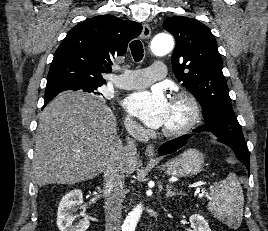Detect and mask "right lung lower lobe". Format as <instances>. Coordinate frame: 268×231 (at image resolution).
Masks as SVG:
<instances>
[{"instance_id":"1","label":"right lung lower lobe","mask_w":268,"mask_h":231,"mask_svg":"<svg viewBox=\"0 0 268 231\" xmlns=\"http://www.w3.org/2000/svg\"><path fill=\"white\" fill-rule=\"evenodd\" d=\"M48 103H44V106H43V108L47 105Z\"/></svg>"}]
</instances>
